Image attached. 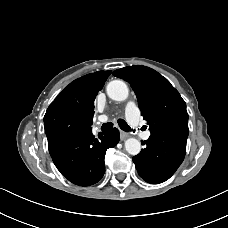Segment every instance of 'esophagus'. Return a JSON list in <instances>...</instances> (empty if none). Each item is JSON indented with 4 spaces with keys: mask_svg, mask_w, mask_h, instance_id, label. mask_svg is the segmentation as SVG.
Segmentation results:
<instances>
[{
    "mask_svg": "<svg viewBox=\"0 0 228 228\" xmlns=\"http://www.w3.org/2000/svg\"><path fill=\"white\" fill-rule=\"evenodd\" d=\"M129 137V134L124 132V131H120V139L123 141L125 139H127Z\"/></svg>",
    "mask_w": 228,
    "mask_h": 228,
    "instance_id": "1",
    "label": "esophagus"
}]
</instances>
